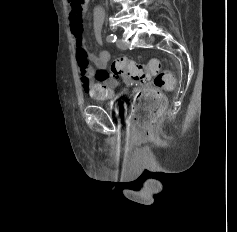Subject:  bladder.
<instances>
[{"label":"bladder","instance_id":"obj_1","mask_svg":"<svg viewBox=\"0 0 237 232\" xmlns=\"http://www.w3.org/2000/svg\"><path fill=\"white\" fill-rule=\"evenodd\" d=\"M116 114L118 115H125L126 111V103L123 100H115L108 104Z\"/></svg>","mask_w":237,"mask_h":232}]
</instances>
